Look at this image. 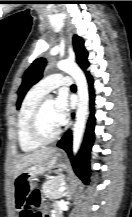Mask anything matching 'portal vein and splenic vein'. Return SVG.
I'll return each instance as SVG.
<instances>
[{"label": "portal vein and splenic vein", "instance_id": "portal-vein-and-splenic-vein-1", "mask_svg": "<svg viewBox=\"0 0 132 217\" xmlns=\"http://www.w3.org/2000/svg\"><path fill=\"white\" fill-rule=\"evenodd\" d=\"M65 189H66V187L62 185V186L58 189V192H64Z\"/></svg>", "mask_w": 132, "mask_h": 217}]
</instances>
